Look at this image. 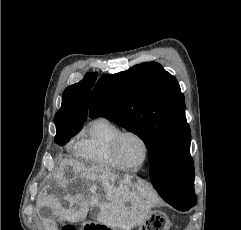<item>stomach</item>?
<instances>
[{
	"label": "stomach",
	"instance_id": "stomach-1",
	"mask_svg": "<svg viewBox=\"0 0 241 230\" xmlns=\"http://www.w3.org/2000/svg\"><path fill=\"white\" fill-rule=\"evenodd\" d=\"M120 180L123 179H120L119 177L117 181ZM86 226L97 227L96 229L98 230H125L120 227L108 226L96 222H84L81 230H84ZM170 226L171 222L169 220V217L164 212L159 210H150L145 218V221L138 226V230H169Z\"/></svg>",
	"mask_w": 241,
	"mask_h": 230
}]
</instances>
